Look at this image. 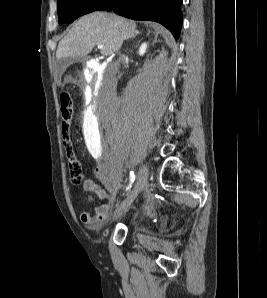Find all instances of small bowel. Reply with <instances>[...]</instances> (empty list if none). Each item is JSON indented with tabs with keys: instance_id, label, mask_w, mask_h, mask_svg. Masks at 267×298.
I'll list each match as a JSON object with an SVG mask.
<instances>
[{
	"instance_id": "small-bowel-1",
	"label": "small bowel",
	"mask_w": 267,
	"mask_h": 298,
	"mask_svg": "<svg viewBox=\"0 0 267 298\" xmlns=\"http://www.w3.org/2000/svg\"><path fill=\"white\" fill-rule=\"evenodd\" d=\"M97 174L101 176L99 170ZM120 183H113L109 190L103 189L99 186L92 178H87L83 183V189L87 192L95 193L100 199L105 202L95 208L94 213L92 214L89 211H83L80 214V220L90 227H99L102 225L109 217L112 205L116 199V196L119 192Z\"/></svg>"
}]
</instances>
